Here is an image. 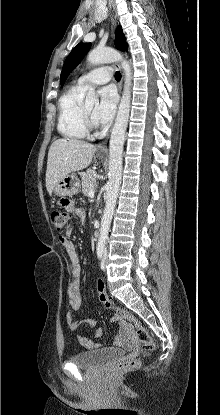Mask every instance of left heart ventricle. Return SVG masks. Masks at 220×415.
I'll list each match as a JSON object with an SVG mask.
<instances>
[{"mask_svg": "<svg viewBox=\"0 0 220 415\" xmlns=\"http://www.w3.org/2000/svg\"><path fill=\"white\" fill-rule=\"evenodd\" d=\"M85 109L89 113V115L92 116V114H93V112L95 110V105L86 106Z\"/></svg>", "mask_w": 220, "mask_h": 415, "instance_id": "1", "label": "left heart ventricle"}]
</instances>
